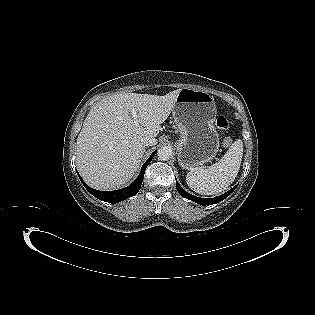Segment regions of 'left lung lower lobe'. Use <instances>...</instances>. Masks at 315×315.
I'll list each match as a JSON object with an SVG mask.
<instances>
[{
    "instance_id": "0a47b994",
    "label": "left lung lower lobe",
    "mask_w": 315,
    "mask_h": 315,
    "mask_svg": "<svg viewBox=\"0 0 315 315\" xmlns=\"http://www.w3.org/2000/svg\"><path fill=\"white\" fill-rule=\"evenodd\" d=\"M176 188H177V191L181 194V196L187 198V199H190L198 204H201V205H212V204H215V203H218L222 200H224L226 197H228L236 188V186L232 189H230L229 191H227L225 194L223 195H220L218 197H215V198H199V197H196V196H193L189 193H187L186 191H184V189H182V187L179 185V183L176 181Z\"/></svg>"
}]
</instances>
